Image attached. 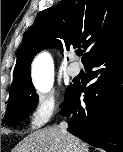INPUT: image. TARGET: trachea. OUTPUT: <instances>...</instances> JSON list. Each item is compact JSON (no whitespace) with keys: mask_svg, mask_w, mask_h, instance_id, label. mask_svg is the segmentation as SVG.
Masks as SVG:
<instances>
[{"mask_svg":"<svg viewBox=\"0 0 123 152\" xmlns=\"http://www.w3.org/2000/svg\"><path fill=\"white\" fill-rule=\"evenodd\" d=\"M82 53H83L82 51H78V52H77V55L81 56Z\"/></svg>","mask_w":123,"mask_h":152,"instance_id":"3493384b","label":"trachea"}]
</instances>
